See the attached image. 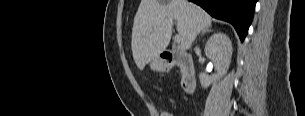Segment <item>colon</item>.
Masks as SVG:
<instances>
[{"instance_id":"obj_1","label":"colon","mask_w":305,"mask_h":116,"mask_svg":"<svg viewBox=\"0 0 305 116\" xmlns=\"http://www.w3.org/2000/svg\"><path fill=\"white\" fill-rule=\"evenodd\" d=\"M157 116H173V114L170 111H167L165 109H157Z\"/></svg>"}]
</instances>
